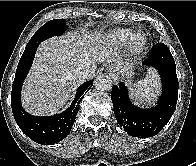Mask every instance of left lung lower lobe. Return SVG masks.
Segmentation results:
<instances>
[{"mask_svg": "<svg viewBox=\"0 0 196 166\" xmlns=\"http://www.w3.org/2000/svg\"><path fill=\"white\" fill-rule=\"evenodd\" d=\"M143 64L155 68L160 74L163 90L157 105L150 109L133 105L128 97L127 87L123 83L113 86L111 99L117 122L127 134L148 138L159 133L173 115L178 99L179 83L174 59L165 44L157 43Z\"/></svg>", "mask_w": 196, "mask_h": 166, "instance_id": "1", "label": "left lung lower lobe"}]
</instances>
